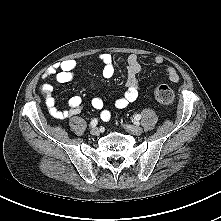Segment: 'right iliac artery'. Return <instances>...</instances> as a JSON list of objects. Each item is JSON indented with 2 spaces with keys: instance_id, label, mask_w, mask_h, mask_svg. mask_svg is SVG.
Segmentation results:
<instances>
[{
  "instance_id": "right-iliac-artery-1",
  "label": "right iliac artery",
  "mask_w": 221,
  "mask_h": 221,
  "mask_svg": "<svg viewBox=\"0 0 221 221\" xmlns=\"http://www.w3.org/2000/svg\"><path fill=\"white\" fill-rule=\"evenodd\" d=\"M98 124V120L97 119H93L91 122H90V127H95L96 125Z\"/></svg>"
}]
</instances>
